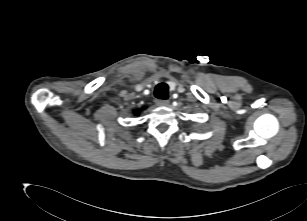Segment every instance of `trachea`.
<instances>
[{"instance_id": "1", "label": "trachea", "mask_w": 307, "mask_h": 221, "mask_svg": "<svg viewBox=\"0 0 307 221\" xmlns=\"http://www.w3.org/2000/svg\"><path fill=\"white\" fill-rule=\"evenodd\" d=\"M154 95L158 99H168V85L166 83H159L155 87Z\"/></svg>"}]
</instances>
